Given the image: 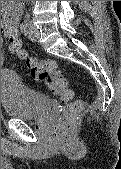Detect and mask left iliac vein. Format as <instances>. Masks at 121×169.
Returning <instances> with one entry per match:
<instances>
[{
  "label": "left iliac vein",
  "instance_id": "obj_1",
  "mask_svg": "<svg viewBox=\"0 0 121 169\" xmlns=\"http://www.w3.org/2000/svg\"><path fill=\"white\" fill-rule=\"evenodd\" d=\"M26 34L28 35V37L31 41L36 42L39 40L40 32H39L38 28L36 26H34V24L32 22H30V26H29V29L26 32Z\"/></svg>",
  "mask_w": 121,
  "mask_h": 169
}]
</instances>
